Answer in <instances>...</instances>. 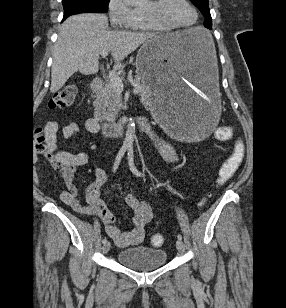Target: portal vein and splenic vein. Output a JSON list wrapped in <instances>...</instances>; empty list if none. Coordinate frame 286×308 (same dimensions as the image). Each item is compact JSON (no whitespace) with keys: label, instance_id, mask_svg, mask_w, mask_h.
Returning a JSON list of instances; mask_svg holds the SVG:
<instances>
[{"label":"portal vein and splenic vein","instance_id":"portal-vein-and-splenic-vein-1","mask_svg":"<svg viewBox=\"0 0 286 308\" xmlns=\"http://www.w3.org/2000/svg\"><path fill=\"white\" fill-rule=\"evenodd\" d=\"M108 54H109V51L100 52V55L102 57H106V56H108ZM109 79L112 82L115 89L121 93L123 91V87H124L121 78L118 75H116V73L114 71H109ZM133 92L135 94H138L139 90L137 88H135L133 90Z\"/></svg>","mask_w":286,"mask_h":308}]
</instances>
